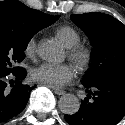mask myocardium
I'll return each mask as SVG.
<instances>
[{
  "mask_svg": "<svg viewBox=\"0 0 125 125\" xmlns=\"http://www.w3.org/2000/svg\"><path fill=\"white\" fill-rule=\"evenodd\" d=\"M68 56L79 69L86 68L91 60L90 50L80 44L68 48Z\"/></svg>",
  "mask_w": 125,
  "mask_h": 125,
  "instance_id": "obj_1",
  "label": "myocardium"
}]
</instances>
